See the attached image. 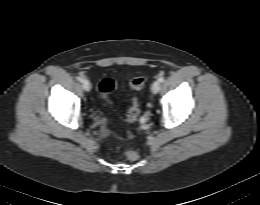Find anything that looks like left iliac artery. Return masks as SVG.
<instances>
[{
    "instance_id": "obj_1",
    "label": "left iliac artery",
    "mask_w": 260,
    "mask_h": 205,
    "mask_svg": "<svg viewBox=\"0 0 260 205\" xmlns=\"http://www.w3.org/2000/svg\"><path fill=\"white\" fill-rule=\"evenodd\" d=\"M158 81L161 82V83L164 82V77H163V76H160V77L158 78Z\"/></svg>"
}]
</instances>
